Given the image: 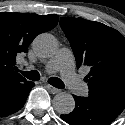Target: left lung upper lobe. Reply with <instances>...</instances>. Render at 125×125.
<instances>
[{
  "label": "left lung upper lobe",
  "mask_w": 125,
  "mask_h": 125,
  "mask_svg": "<svg viewBox=\"0 0 125 125\" xmlns=\"http://www.w3.org/2000/svg\"><path fill=\"white\" fill-rule=\"evenodd\" d=\"M60 26L77 68L85 65L91 69L85 77L89 96L125 99V38L113 28L83 18L62 17Z\"/></svg>",
  "instance_id": "left-lung-upper-lobe-1"
}]
</instances>
